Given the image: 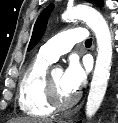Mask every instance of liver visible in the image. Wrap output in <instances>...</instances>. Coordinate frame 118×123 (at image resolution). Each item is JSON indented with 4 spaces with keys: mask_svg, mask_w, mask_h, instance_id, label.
Returning a JSON list of instances; mask_svg holds the SVG:
<instances>
[{
    "mask_svg": "<svg viewBox=\"0 0 118 123\" xmlns=\"http://www.w3.org/2000/svg\"><path fill=\"white\" fill-rule=\"evenodd\" d=\"M8 123H53V121L50 119L16 118L10 120Z\"/></svg>",
    "mask_w": 118,
    "mask_h": 123,
    "instance_id": "6515ba94",
    "label": "liver"
}]
</instances>
